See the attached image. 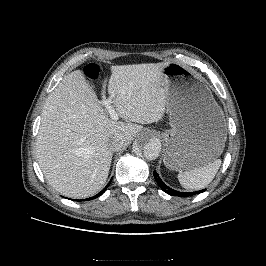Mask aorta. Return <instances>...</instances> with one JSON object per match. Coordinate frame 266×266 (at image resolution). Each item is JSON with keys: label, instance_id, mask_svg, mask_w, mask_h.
I'll use <instances>...</instances> for the list:
<instances>
[{"label": "aorta", "instance_id": "aorta-1", "mask_svg": "<svg viewBox=\"0 0 266 266\" xmlns=\"http://www.w3.org/2000/svg\"><path fill=\"white\" fill-rule=\"evenodd\" d=\"M135 151H141L148 160H155L161 152V141L149 134L142 135L134 146Z\"/></svg>", "mask_w": 266, "mask_h": 266}]
</instances>
